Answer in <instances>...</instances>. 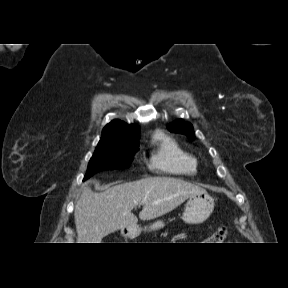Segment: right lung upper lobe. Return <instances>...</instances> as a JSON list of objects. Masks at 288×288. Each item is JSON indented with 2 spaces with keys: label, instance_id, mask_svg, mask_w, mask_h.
I'll return each mask as SVG.
<instances>
[{
  "label": "right lung upper lobe",
  "instance_id": "1",
  "mask_svg": "<svg viewBox=\"0 0 288 288\" xmlns=\"http://www.w3.org/2000/svg\"><path fill=\"white\" fill-rule=\"evenodd\" d=\"M139 127L134 125H127L121 120H113L105 126L102 131V140H107L111 138H124L127 140L137 141L139 137Z\"/></svg>",
  "mask_w": 288,
  "mask_h": 288
}]
</instances>
